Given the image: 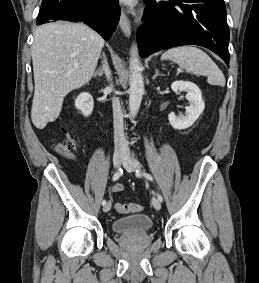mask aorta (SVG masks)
Here are the masks:
<instances>
[{
    "instance_id": "762f6f07",
    "label": "aorta",
    "mask_w": 259,
    "mask_h": 283,
    "mask_svg": "<svg viewBox=\"0 0 259 283\" xmlns=\"http://www.w3.org/2000/svg\"><path fill=\"white\" fill-rule=\"evenodd\" d=\"M130 69L129 110L130 117L134 118L138 113L144 94V80L141 74V63L138 58V52L134 47L131 49Z\"/></svg>"
}]
</instances>
